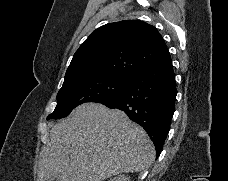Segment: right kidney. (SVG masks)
Instances as JSON below:
<instances>
[{
  "label": "right kidney",
  "instance_id": "obj_1",
  "mask_svg": "<svg viewBox=\"0 0 228 181\" xmlns=\"http://www.w3.org/2000/svg\"><path fill=\"white\" fill-rule=\"evenodd\" d=\"M110 181H130V177H128V175H119V177H114V179H110Z\"/></svg>",
  "mask_w": 228,
  "mask_h": 181
}]
</instances>
